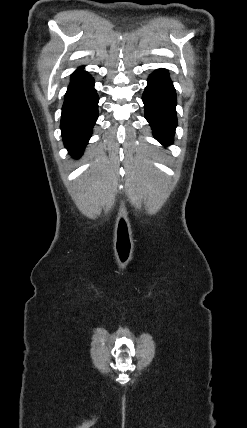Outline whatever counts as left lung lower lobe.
Returning a JSON list of instances; mask_svg holds the SVG:
<instances>
[{
	"instance_id": "1",
	"label": "left lung lower lobe",
	"mask_w": 247,
	"mask_h": 428,
	"mask_svg": "<svg viewBox=\"0 0 247 428\" xmlns=\"http://www.w3.org/2000/svg\"><path fill=\"white\" fill-rule=\"evenodd\" d=\"M142 100L155 139L166 146L172 144L177 126L176 92L166 69L149 76Z\"/></svg>"
}]
</instances>
